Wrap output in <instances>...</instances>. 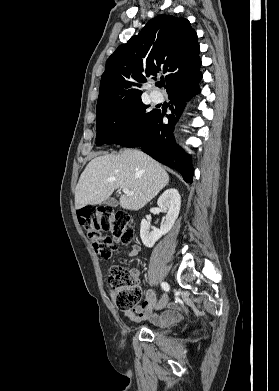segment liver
Instances as JSON below:
<instances>
[{
  "mask_svg": "<svg viewBox=\"0 0 279 391\" xmlns=\"http://www.w3.org/2000/svg\"><path fill=\"white\" fill-rule=\"evenodd\" d=\"M168 182L169 175L161 164L140 150L125 149L120 154L97 156L80 176L75 190V207L100 204L117 188H127L134 195H121L120 206L126 210H139Z\"/></svg>",
  "mask_w": 279,
  "mask_h": 391,
  "instance_id": "obj_1",
  "label": "liver"
}]
</instances>
